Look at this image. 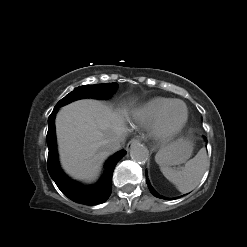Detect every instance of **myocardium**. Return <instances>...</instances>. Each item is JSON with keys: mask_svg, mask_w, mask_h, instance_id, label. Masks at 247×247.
I'll list each match as a JSON object with an SVG mask.
<instances>
[{"mask_svg": "<svg viewBox=\"0 0 247 247\" xmlns=\"http://www.w3.org/2000/svg\"><path fill=\"white\" fill-rule=\"evenodd\" d=\"M175 104H181L184 107L185 113L182 121L179 124L170 126L166 123L165 118L169 109ZM188 117L189 112L187 105L181 100H172L160 111L154 123L152 124V131L154 136L159 140H167L173 138L184 129L188 122Z\"/></svg>", "mask_w": 247, "mask_h": 247, "instance_id": "myocardium-1", "label": "myocardium"}]
</instances>
